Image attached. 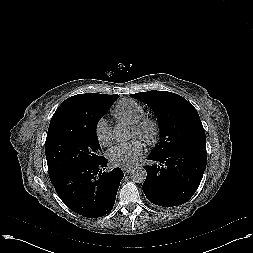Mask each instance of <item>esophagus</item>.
<instances>
[{"label":"esophagus","mask_w":253,"mask_h":253,"mask_svg":"<svg viewBox=\"0 0 253 253\" xmlns=\"http://www.w3.org/2000/svg\"><path fill=\"white\" fill-rule=\"evenodd\" d=\"M122 170H123L124 173H129L132 170V166L123 167Z\"/></svg>","instance_id":"esophagus-1"}]
</instances>
